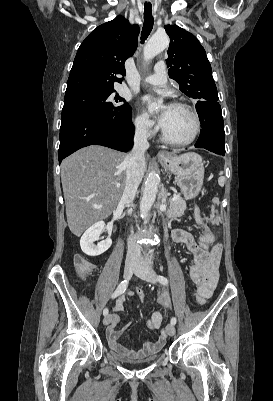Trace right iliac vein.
<instances>
[{"label": "right iliac vein", "mask_w": 273, "mask_h": 401, "mask_svg": "<svg viewBox=\"0 0 273 401\" xmlns=\"http://www.w3.org/2000/svg\"><path fill=\"white\" fill-rule=\"evenodd\" d=\"M136 268H137V265H136V264H129V265H127V266L125 267V269H124V278H125L126 280H129V279L132 277L133 273L135 272ZM111 320H112V315H111V314H108V315H106V316L104 317V319H103V324H104V325H108L109 323H111Z\"/></svg>", "instance_id": "1"}]
</instances>
